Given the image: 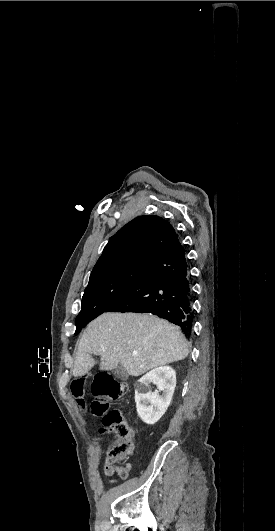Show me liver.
Listing matches in <instances>:
<instances>
[{
	"label": "liver",
	"mask_w": 275,
	"mask_h": 531,
	"mask_svg": "<svg viewBox=\"0 0 275 531\" xmlns=\"http://www.w3.org/2000/svg\"><path fill=\"white\" fill-rule=\"evenodd\" d=\"M188 353L179 327L163 319L141 313H104L89 323L79 341L73 377H83L94 367L91 355H100L101 371L117 369L120 363L129 375L139 377L150 369L182 361Z\"/></svg>",
	"instance_id": "1"
}]
</instances>
